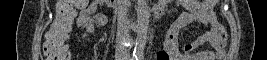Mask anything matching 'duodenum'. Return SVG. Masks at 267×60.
I'll use <instances>...</instances> for the list:
<instances>
[{"label":"duodenum","instance_id":"410a0bca","mask_svg":"<svg viewBox=\"0 0 267 60\" xmlns=\"http://www.w3.org/2000/svg\"><path fill=\"white\" fill-rule=\"evenodd\" d=\"M103 2H106L109 6H113L115 1L114 0H103ZM164 12H165V9L161 7L160 5L158 7H155L151 11L152 16L155 20L160 19Z\"/></svg>","mask_w":267,"mask_h":60}]
</instances>
